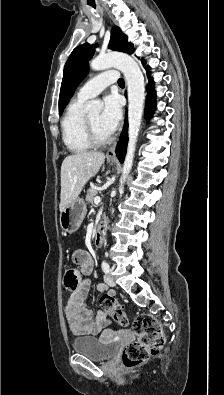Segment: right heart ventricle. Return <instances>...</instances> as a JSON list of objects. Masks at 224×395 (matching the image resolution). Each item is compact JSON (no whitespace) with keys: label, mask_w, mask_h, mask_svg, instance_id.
Listing matches in <instances>:
<instances>
[{"label":"right heart ventricle","mask_w":224,"mask_h":395,"mask_svg":"<svg viewBox=\"0 0 224 395\" xmlns=\"http://www.w3.org/2000/svg\"><path fill=\"white\" fill-rule=\"evenodd\" d=\"M86 100L73 99L62 120V136L66 147L73 153H82L91 148L86 130L83 106Z\"/></svg>","instance_id":"obj_1"}]
</instances>
